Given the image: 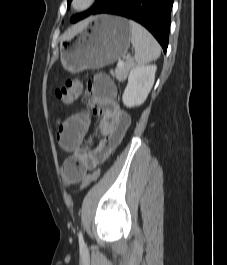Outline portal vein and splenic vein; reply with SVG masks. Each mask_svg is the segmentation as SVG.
Here are the masks:
<instances>
[{
    "label": "portal vein and splenic vein",
    "mask_w": 227,
    "mask_h": 265,
    "mask_svg": "<svg viewBox=\"0 0 227 265\" xmlns=\"http://www.w3.org/2000/svg\"><path fill=\"white\" fill-rule=\"evenodd\" d=\"M124 65V60H120L117 64L118 67H122Z\"/></svg>",
    "instance_id": "18ae733b"
}]
</instances>
